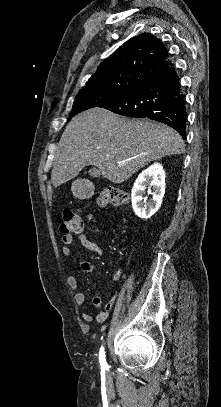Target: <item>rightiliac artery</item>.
<instances>
[{
	"label": "right iliac artery",
	"instance_id": "1",
	"mask_svg": "<svg viewBox=\"0 0 221 407\" xmlns=\"http://www.w3.org/2000/svg\"><path fill=\"white\" fill-rule=\"evenodd\" d=\"M99 361H100L101 367H105V366L107 365V362H106V360H105V351H104V347H103V346H101V348H100Z\"/></svg>",
	"mask_w": 221,
	"mask_h": 407
}]
</instances>
